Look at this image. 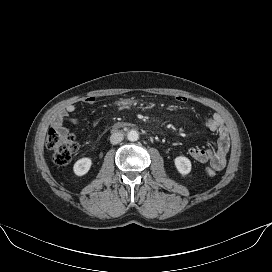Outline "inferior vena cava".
Wrapping results in <instances>:
<instances>
[{
  "mask_svg": "<svg viewBox=\"0 0 272 272\" xmlns=\"http://www.w3.org/2000/svg\"><path fill=\"white\" fill-rule=\"evenodd\" d=\"M124 138V135L122 132H115L110 137L111 144L115 145L120 143Z\"/></svg>",
  "mask_w": 272,
  "mask_h": 272,
  "instance_id": "inferior-vena-cava-1",
  "label": "inferior vena cava"
}]
</instances>
